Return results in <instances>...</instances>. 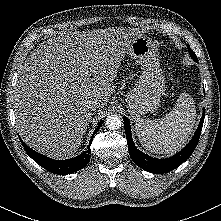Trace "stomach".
I'll use <instances>...</instances> for the list:
<instances>
[{"mask_svg":"<svg viewBox=\"0 0 221 221\" xmlns=\"http://www.w3.org/2000/svg\"><path fill=\"white\" fill-rule=\"evenodd\" d=\"M128 54L141 65V75L134 88L126 95L128 112L139 117L154 112L160 105L165 91V77L160 68L158 47L147 36L136 37Z\"/></svg>","mask_w":221,"mask_h":221,"instance_id":"1","label":"stomach"}]
</instances>
